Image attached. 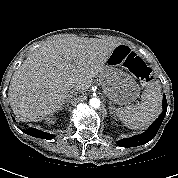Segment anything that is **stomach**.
Segmentation results:
<instances>
[{"label":"stomach","mask_w":178,"mask_h":178,"mask_svg":"<svg viewBox=\"0 0 178 178\" xmlns=\"http://www.w3.org/2000/svg\"><path fill=\"white\" fill-rule=\"evenodd\" d=\"M116 48L100 72V83L111 103L129 106L139 97L140 86L128 70L127 55L117 56Z\"/></svg>","instance_id":"stomach-1"}]
</instances>
